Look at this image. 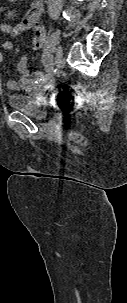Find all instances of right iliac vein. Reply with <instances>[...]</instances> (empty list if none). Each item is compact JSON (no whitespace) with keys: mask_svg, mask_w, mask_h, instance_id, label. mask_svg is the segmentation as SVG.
I'll use <instances>...</instances> for the list:
<instances>
[{"mask_svg":"<svg viewBox=\"0 0 127 303\" xmlns=\"http://www.w3.org/2000/svg\"><path fill=\"white\" fill-rule=\"evenodd\" d=\"M63 58V50L62 47L59 46L56 51L55 64L59 65Z\"/></svg>","mask_w":127,"mask_h":303,"instance_id":"1","label":"right iliac vein"}]
</instances>
